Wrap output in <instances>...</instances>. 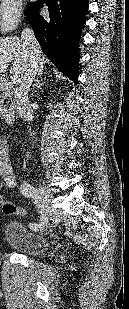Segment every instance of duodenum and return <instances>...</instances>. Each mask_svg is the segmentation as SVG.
<instances>
[{"label":"duodenum","instance_id":"duodenum-1","mask_svg":"<svg viewBox=\"0 0 129 309\" xmlns=\"http://www.w3.org/2000/svg\"><path fill=\"white\" fill-rule=\"evenodd\" d=\"M0 116L8 124H12L15 119L13 104L11 101L4 102L0 107Z\"/></svg>","mask_w":129,"mask_h":309}]
</instances>
